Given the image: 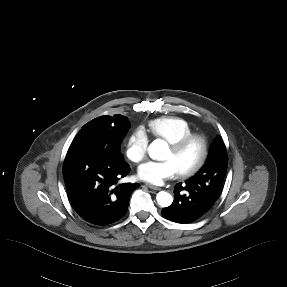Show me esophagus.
<instances>
[{
	"label": "esophagus",
	"mask_w": 287,
	"mask_h": 287,
	"mask_svg": "<svg viewBox=\"0 0 287 287\" xmlns=\"http://www.w3.org/2000/svg\"><path fill=\"white\" fill-rule=\"evenodd\" d=\"M147 186H148L150 189L155 190V191H159V190H161V188H160V187H157V186L152 185V184H147Z\"/></svg>",
	"instance_id": "34e87169"
}]
</instances>
